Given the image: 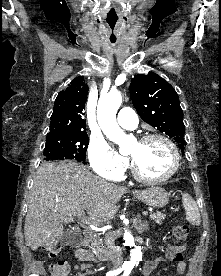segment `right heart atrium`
Masks as SVG:
<instances>
[{"instance_id": "1", "label": "right heart atrium", "mask_w": 221, "mask_h": 276, "mask_svg": "<svg viewBox=\"0 0 221 276\" xmlns=\"http://www.w3.org/2000/svg\"><path fill=\"white\" fill-rule=\"evenodd\" d=\"M88 159L93 171L109 180L120 179L128 166L127 159L101 137H94L90 140Z\"/></svg>"}]
</instances>
